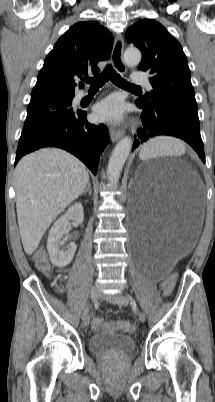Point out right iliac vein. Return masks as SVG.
<instances>
[{
  "instance_id": "obj_1",
  "label": "right iliac vein",
  "mask_w": 215,
  "mask_h": 402,
  "mask_svg": "<svg viewBox=\"0 0 215 402\" xmlns=\"http://www.w3.org/2000/svg\"><path fill=\"white\" fill-rule=\"evenodd\" d=\"M90 297L93 302H96L99 297H100V290L97 287H92L91 292H90ZM90 321V316L88 314H85L82 318V323L84 326H87Z\"/></svg>"
}]
</instances>
